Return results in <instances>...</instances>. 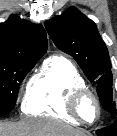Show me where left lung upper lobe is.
Listing matches in <instances>:
<instances>
[{"instance_id": "left-lung-upper-lobe-1", "label": "left lung upper lobe", "mask_w": 117, "mask_h": 136, "mask_svg": "<svg viewBox=\"0 0 117 136\" xmlns=\"http://www.w3.org/2000/svg\"><path fill=\"white\" fill-rule=\"evenodd\" d=\"M45 27L55 45L71 55L87 78L97 84L102 106L109 112L116 111L112 100L111 62L95 23L70 7L62 15L46 21Z\"/></svg>"}]
</instances>
